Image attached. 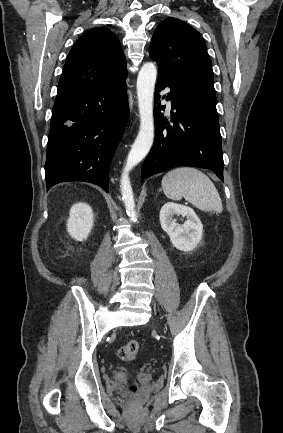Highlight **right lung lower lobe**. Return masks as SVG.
<instances>
[{
  "mask_svg": "<svg viewBox=\"0 0 283 433\" xmlns=\"http://www.w3.org/2000/svg\"><path fill=\"white\" fill-rule=\"evenodd\" d=\"M128 115L126 77L110 86L56 97L45 164L47 190L60 182L84 181L109 192L110 161Z\"/></svg>",
  "mask_w": 283,
  "mask_h": 433,
  "instance_id": "1",
  "label": "right lung lower lobe"
}]
</instances>
